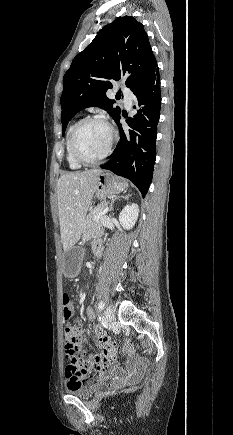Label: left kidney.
Returning a JSON list of instances; mask_svg holds the SVG:
<instances>
[{
	"label": "left kidney",
	"instance_id": "obj_1",
	"mask_svg": "<svg viewBox=\"0 0 233 435\" xmlns=\"http://www.w3.org/2000/svg\"><path fill=\"white\" fill-rule=\"evenodd\" d=\"M139 207L137 204L132 203L126 205L119 215V222L125 229H131L138 218Z\"/></svg>",
	"mask_w": 233,
	"mask_h": 435
}]
</instances>
